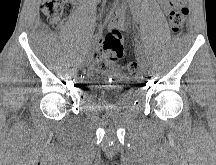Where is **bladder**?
Returning a JSON list of instances; mask_svg holds the SVG:
<instances>
[{
	"label": "bladder",
	"instance_id": "obj_1",
	"mask_svg": "<svg viewBox=\"0 0 216 165\" xmlns=\"http://www.w3.org/2000/svg\"><path fill=\"white\" fill-rule=\"evenodd\" d=\"M87 86L91 89H82V94H88L97 111H119L133 104L137 90L133 76H127L111 70L107 76H88Z\"/></svg>",
	"mask_w": 216,
	"mask_h": 165
}]
</instances>
